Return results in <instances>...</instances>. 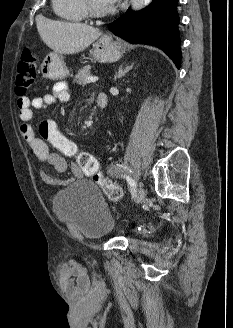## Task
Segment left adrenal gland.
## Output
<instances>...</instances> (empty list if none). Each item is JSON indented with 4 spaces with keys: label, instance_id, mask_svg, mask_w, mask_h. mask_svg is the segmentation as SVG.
Wrapping results in <instances>:
<instances>
[{
    "label": "left adrenal gland",
    "instance_id": "a2214340",
    "mask_svg": "<svg viewBox=\"0 0 233 328\" xmlns=\"http://www.w3.org/2000/svg\"><path fill=\"white\" fill-rule=\"evenodd\" d=\"M134 63H132L130 66H126L123 68V64L119 67L118 73H117V78L123 77L127 72H129L133 68Z\"/></svg>",
    "mask_w": 233,
    "mask_h": 328
}]
</instances>
